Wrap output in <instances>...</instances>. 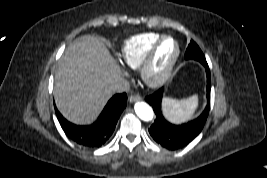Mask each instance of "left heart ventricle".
I'll return each instance as SVG.
<instances>
[{
  "instance_id": "b2bd125f",
  "label": "left heart ventricle",
  "mask_w": 267,
  "mask_h": 178,
  "mask_svg": "<svg viewBox=\"0 0 267 178\" xmlns=\"http://www.w3.org/2000/svg\"><path fill=\"white\" fill-rule=\"evenodd\" d=\"M176 52V45L172 40H165L159 47L155 59L150 67L152 76L160 75L170 63Z\"/></svg>"
}]
</instances>
